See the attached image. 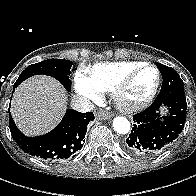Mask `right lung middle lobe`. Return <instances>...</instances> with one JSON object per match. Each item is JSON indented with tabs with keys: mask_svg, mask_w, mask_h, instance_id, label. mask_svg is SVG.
Here are the masks:
<instances>
[{
	"mask_svg": "<svg viewBox=\"0 0 196 196\" xmlns=\"http://www.w3.org/2000/svg\"><path fill=\"white\" fill-rule=\"evenodd\" d=\"M73 62L70 60L48 59L40 63L29 65L19 76L14 84L18 86L25 79L37 75L45 74L57 79L67 91H71V81L69 79L70 68Z\"/></svg>",
	"mask_w": 196,
	"mask_h": 196,
	"instance_id": "dd1d6c3e",
	"label": "right lung middle lobe"
}]
</instances>
